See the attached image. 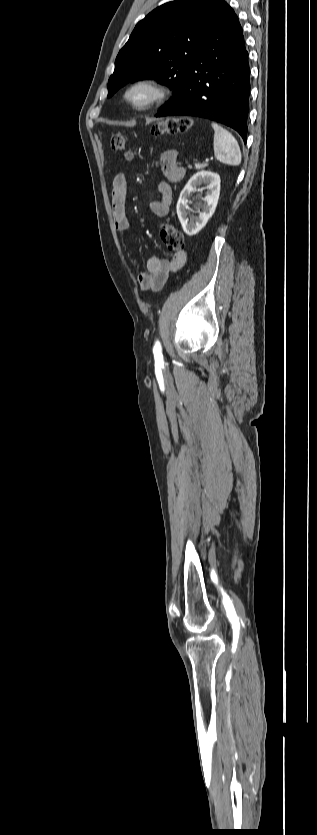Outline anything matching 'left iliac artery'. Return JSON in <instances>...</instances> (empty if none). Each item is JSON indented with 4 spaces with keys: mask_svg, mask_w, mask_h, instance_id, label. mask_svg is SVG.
<instances>
[{
    "mask_svg": "<svg viewBox=\"0 0 317 835\" xmlns=\"http://www.w3.org/2000/svg\"><path fill=\"white\" fill-rule=\"evenodd\" d=\"M153 354H154V358L157 362H162L163 361L162 349H161V344H160L159 341H156V343L154 345Z\"/></svg>",
    "mask_w": 317,
    "mask_h": 835,
    "instance_id": "obj_1",
    "label": "left iliac artery"
}]
</instances>
